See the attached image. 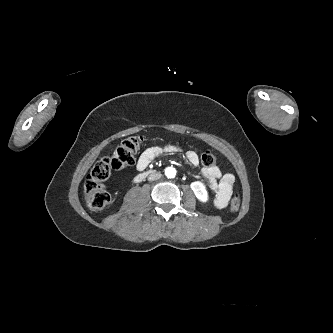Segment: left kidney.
Listing matches in <instances>:
<instances>
[{"label":"left kidney","instance_id":"left-kidney-1","mask_svg":"<svg viewBox=\"0 0 333 333\" xmlns=\"http://www.w3.org/2000/svg\"><path fill=\"white\" fill-rule=\"evenodd\" d=\"M191 189L193 190L195 196L202 202L208 200L207 190L202 182L195 181L191 183Z\"/></svg>","mask_w":333,"mask_h":333}]
</instances>
